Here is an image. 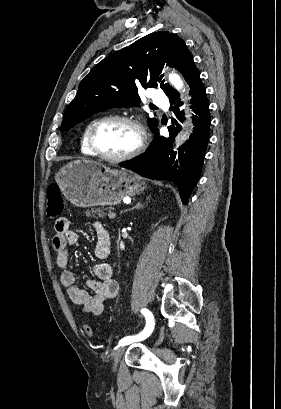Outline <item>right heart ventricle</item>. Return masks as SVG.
Instances as JSON below:
<instances>
[{"label":"right heart ventricle","instance_id":"right-heart-ventricle-1","mask_svg":"<svg viewBox=\"0 0 281 409\" xmlns=\"http://www.w3.org/2000/svg\"><path fill=\"white\" fill-rule=\"evenodd\" d=\"M98 120L99 119H94V120L90 121L86 125V127L84 129V132H83L82 138H81V143H80V150H81V153L83 155L95 156V154L93 153L92 148H91L90 137H91L93 127L95 126V124H96V122Z\"/></svg>","mask_w":281,"mask_h":409}]
</instances>
